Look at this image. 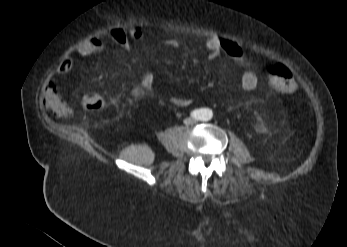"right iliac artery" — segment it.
Masks as SVG:
<instances>
[{
	"label": "right iliac artery",
	"mask_w": 347,
	"mask_h": 247,
	"mask_svg": "<svg viewBox=\"0 0 347 247\" xmlns=\"http://www.w3.org/2000/svg\"><path fill=\"white\" fill-rule=\"evenodd\" d=\"M191 116L195 119H200L202 116V111L201 110H194L191 112Z\"/></svg>",
	"instance_id": "1"
}]
</instances>
